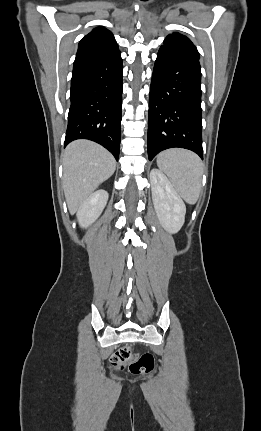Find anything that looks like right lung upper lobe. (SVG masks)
I'll use <instances>...</instances> for the list:
<instances>
[{"label":"right lung upper lobe","mask_w":261,"mask_h":431,"mask_svg":"<svg viewBox=\"0 0 261 431\" xmlns=\"http://www.w3.org/2000/svg\"><path fill=\"white\" fill-rule=\"evenodd\" d=\"M114 50H118V45L113 34L106 28L99 26L82 38L78 45L77 54Z\"/></svg>","instance_id":"1"}]
</instances>
